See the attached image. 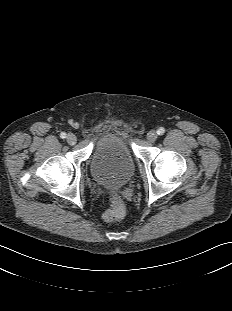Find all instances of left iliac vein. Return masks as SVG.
<instances>
[{"mask_svg": "<svg viewBox=\"0 0 232 311\" xmlns=\"http://www.w3.org/2000/svg\"><path fill=\"white\" fill-rule=\"evenodd\" d=\"M157 138H158V134H157L156 131L151 130V131L148 132V134H147V140H148L149 142L154 143V142L157 140Z\"/></svg>", "mask_w": 232, "mask_h": 311, "instance_id": "4c4485c4", "label": "left iliac vein"}]
</instances>
